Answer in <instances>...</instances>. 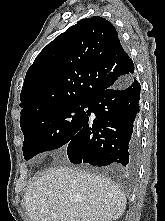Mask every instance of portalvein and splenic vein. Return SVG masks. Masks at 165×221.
I'll list each match as a JSON object with an SVG mask.
<instances>
[{
    "mask_svg": "<svg viewBox=\"0 0 165 221\" xmlns=\"http://www.w3.org/2000/svg\"><path fill=\"white\" fill-rule=\"evenodd\" d=\"M53 218H57V215L56 214H52L51 215Z\"/></svg>",
    "mask_w": 165,
    "mask_h": 221,
    "instance_id": "18ae733b",
    "label": "portal vein and splenic vein"
}]
</instances>
